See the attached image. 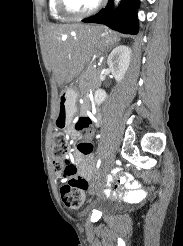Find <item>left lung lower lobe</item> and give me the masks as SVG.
Here are the masks:
<instances>
[{"label":"left lung lower lobe","instance_id":"obj_1","mask_svg":"<svg viewBox=\"0 0 183 246\" xmlns=\"http://www.w3.org/2000/svg\"><path fill=\"white\" fill-rule=\"evenodd\" d=\"M138 6L139 0H121L120 5L114 11L113 2L109 0L105 9L82 21L104 24L113 30L134 35L138 33Z\"/></svg>","mask_w":183,"mask_h":246}]
</instances>
